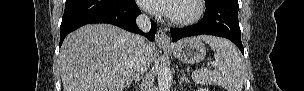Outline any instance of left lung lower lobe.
I'll use <instances>...</instances> for the list:
<instances>
[{"instance_id": "left-lung-lower-lobe-1", "label": "left lung lower lobe", "mask_w": 304, "mask_h": 91, "mask_svg": "<svg viewBox=\"0 0 304 91\" xmlns=\"http://www.w3.org/2000/svg\"><path fill=\"white\" fill-rule=\"evenodd\" d=\"M238 0H214L206 4L203 19L189 27L170 29L172 41L194 35H215L231 40L244 55L238 22Z\"/></svg>"}]
</instances>
